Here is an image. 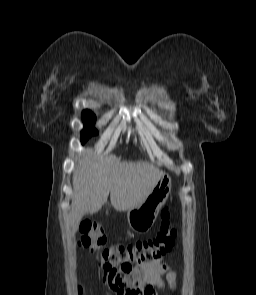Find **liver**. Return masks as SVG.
Listing matches in <instances>:
<instances>
[{
	"mask_svg": "<svg viewBox=\"0 0 256 295\" xmlns=\"http://www.w3.org/2000/svg\"><path fill=\"white\" fill-rule=\"evenodd\" d=\"M163 173L146 161H121L116 156L96 160L82 155L73 175L70 226L74 234L84 214L98 212L110 194L117 211H128L141 205Z\"/></svg>",
	"mask_w": 256,
	"mask_h": 295,
	"instance_id": "6515ba94",
	"label": "liver"
}]
</instances>
